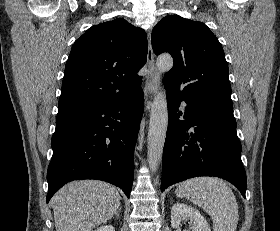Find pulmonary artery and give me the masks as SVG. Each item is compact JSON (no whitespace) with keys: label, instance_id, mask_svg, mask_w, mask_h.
<instances>
[{"label":"pulmonary artery","instance_id":"1","mask_svg":"<svg viewBox=\"0 0 280 231\" xmlns=\"http://www.w3.org/2000/svg\"><path fill=\"white\" fill-rule=\"evenodd\" d=\"M181 105H186V103L183 101V102L181 103Z\"/></svg>","mask_w":280,"mask_h":231}]
</instances>
